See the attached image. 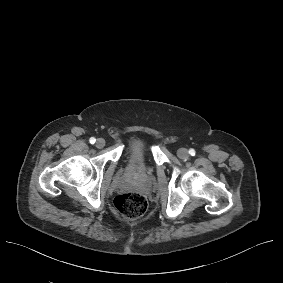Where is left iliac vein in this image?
<instances>
[{
	"label": "left iliac vein",
	"mask_w": 283,
	"mask_h": 283,
	"mask_svg": "<svg viewBox=\"0 0 283 283\" xmlns=\"http://www.w3.org/2000/svg\"><path fill=\"white\" fill-rule=\"evenodd\" d=\"M177 154H178V157L180 159H188L189 158V152L186 148H180L178 151H177Z\"/></svg>",
	"instance_id": "1"
}]
</instances>
